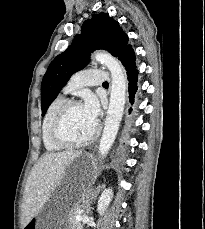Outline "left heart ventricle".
I'll return each instance as SVG.
<instances>
[{
	"instance_id": "left-heart-ventricle-1",
	"label": "left heart ventricle",
	"mask_w": 205,
	"mask_h": 229,
	"mask_svg": "<svg viewBox=\"0 0 205 229\" xmlns=\"http://www.w3.org/2000/svg\"><path fill=\"white\" fill-rule=\"evenodd\" d=\"M96 122L91 120L82 105L72 107L63 122L62 135L72 141L87 138L94 130Z\"/></svg>"
}]
</instances>
